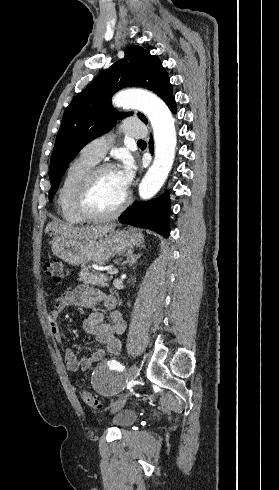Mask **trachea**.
Returning a JSON list of instances; mask_svg holds the SVG:
<instances>
[{
    "label": "trachea",
    "instance_id": "1",
    "mask_svg": "<svg viewBox=\"0 0 279 490\" xmlns=\"http://www.w3.org/2000/svg\"><path fill=\"white\" fill-rule=\"evenodd\" d=\"M137 143H145L144 140H138Z\"/></svg>",
    "mask_w": 279,
    "mask_h": 490
}]
</instances>
